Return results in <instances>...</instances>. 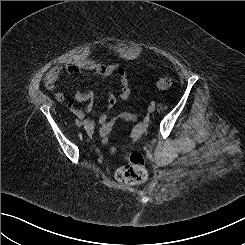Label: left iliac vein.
Segmentation results:
<instances>
[{"label":"left iliac vein","instance_id":"1","mask_svg":"<svg viewBox=\"0 0 245 245\" xmlns=\"http://www.w3.org/2000/svg\"><path fill=\"white\" fill-rule=\"evenodd\" d=\"M148 111H149V112H154V111H155V106H154V105H150V106L148 107Z\"/></svg>","mask_w":245,"mask_h":245}]
</instances>
